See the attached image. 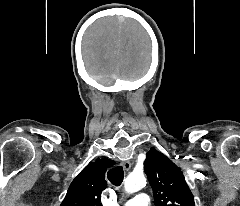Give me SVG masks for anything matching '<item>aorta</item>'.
<instances>
[{
    "label": "aorta",
    "instance_id": "aorta-1",
    "mask_svg": "<svg viewBox=\"0 0 240 206\" xmlns=\"http://www.w3.org/2000/svg\"><path fill=\"white\" fill-rule=\"evenodd\" d=\"M146 185V178L142 172H133L125 180L124 189L127 193H134Z\"/></svg>",
    "mask_w": 240,
    "mask_h": 206
}]
</instances>
